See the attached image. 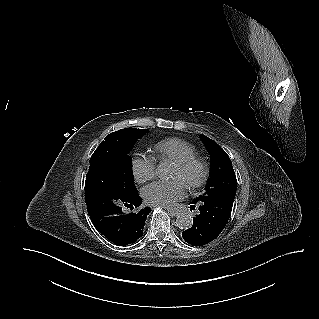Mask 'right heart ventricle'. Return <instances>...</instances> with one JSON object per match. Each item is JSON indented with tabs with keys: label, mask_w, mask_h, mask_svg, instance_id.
Masks as SVG:
<instances>
[{
	"label": "right heart ventricle",
	"mask_w": 319,
	"mask_h": 319,
	"mask_svg": "<svg viewBox=\"0 0 319 319\" xmlns=\"http://www.w3.org/2000/svg\"><path fill=\"white\" fill-rule=\"evenodd\" d=\"M153 153L156 160L176 163L184 158L196 155V149L184 139L169 138L155 144Z\"/></svg>",
	"instance_id": "obj_1"
}]
</instances>
